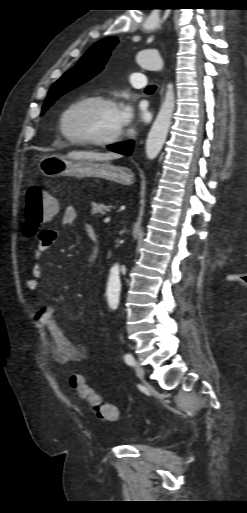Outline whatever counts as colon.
<instances>
[{"instance_id": "colon-1", "label": "colon", "mask_w": 247, "mask_h": 513, "mask_svg": "<svg viewBox=\"0 0 247 513\" xmlns=\"http://www.w3.org/2000/svg\"><path fill=\"white\" fill-rule=\"evenodd\" d=\"M59 212V203L41 184L31 185L25 195L23 234L34 237L39 229L55 218ZM71 386L79 397L89 403L98 418L114 421L118 417L117 408L106 402L91 388L79 374L70 378Z\"/></svg>"}]
</instances>
